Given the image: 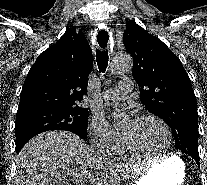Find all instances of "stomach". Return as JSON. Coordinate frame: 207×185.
I'll return each instance as SVG.
<instances>
[{
  "label": "stomach",
  "mask_w": 207,
  "mask_h": 185,
  "mask_svg": "<svg viewBox=\"0 0 207 185\" xmlns=\"http://www.w3.org/2000/svg\"><path fill=\"white\" fill-rule=\"evenodd\" d=\"M185 179V164L178 156H170L153 165L137 185H181Z\"/></svg>",
  "instance_id": "0dacf381"
}]
</instances>
